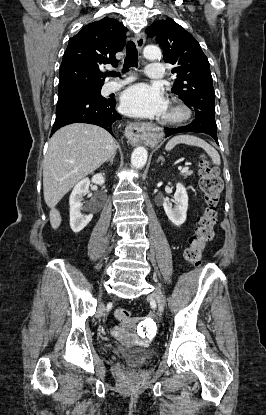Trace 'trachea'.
<instances>
[{
  "label": "trachea",
  "instance_id": "1",
  "mask_svg": "<svg viewBox=\"0 0 266 415\" xmlns=\"http://www.w3.org/2000/svg\"><path fill=\"white\" fill-rule=\"evenodd\" d=\"M138 66V52L133 41L127 43L126 57L124 59L123 71L126 72L130 67ZM109 76L120 77L121 75L117 72H109Z\"/></svg>",
  "mask_w": 266,
  "mask_h": 415
}]
</instances>
